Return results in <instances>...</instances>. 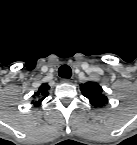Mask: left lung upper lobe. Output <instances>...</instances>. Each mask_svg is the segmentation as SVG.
Segmentation results:
<instances>
[{
	"label": "left lung upper lobe",
	"instance_id": "obj_1",
	"mask_svg": "<svg viewBox=\"0 0 137 145\" xmlns=\"http://www.w3.org/2000/svg\"><path fill=\"white\" fill-rule=\"evenodd\" d=\"M80 90L94 107L105 106L108 102L107 97L103 94L102 87L95 82L81 84Z\"/></svg>",
	"mask_w": 137,
	"mask_h": 145
}]
</instances>
